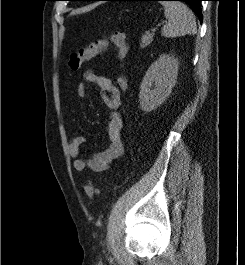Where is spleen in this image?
Wrapping results in <instances>:
<instances>
[{
  "mask_svg": "<svg viewBox=\"0 0 245 265\" xmlns=\"http://www.w3.org/2000/svg\"><path fill=\"white\" fill-rule=\"evenodd\" d=\"M164 15L168 23L162 28V36L167 38L195 34L196 19L193 12L182 2L162 1Z\"/></svg>",
  "mask_w": 245,
  "mask_h": 265,
  "instance_id": "1",
  "label": "spleen"
}]
</instances>
